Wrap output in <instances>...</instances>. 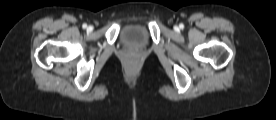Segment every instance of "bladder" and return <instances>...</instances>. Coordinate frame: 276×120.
<instances>
[{"label": "bladder", "instance_id": "1", "mask_svg": "<svg viewBox=\"0 0 276 120\" xmlns=\"http://www.w3.org/2000/svg\"><path fill=\"white\" fill-rule=\"evenodd\" d=\"M144 38L145 32L140 26H130L123 32V40L129 46H139Z\"/></svg>", "mask_w": 276, "mask_h": 120}]
</instances>
